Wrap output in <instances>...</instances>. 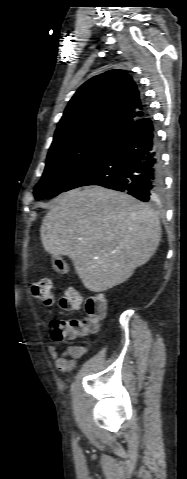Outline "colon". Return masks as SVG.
<instances>
[{"label":"colon","mask_w":187,"mask_h":479,"mask_svg":"<svg viewBox=\"0 0 187 479\" xmlns=\"http://www.w3.org/2000/svg\"><path fill=\"white\" fill-rule=\"evenodd\" d=\"M31 293L33 297L46 304H52L55 299L53 285L48 278L32 283ZM60 305L67 312H75L84 308L86 316L80 319L62 320L56 326L51 325L52 337L55 340L76 338L95 332L107 313V302L102 294H93L84 301L74 287H66L63 290Z\"/></svg>","instance_id":"5ec220e1"}]
</instances>
